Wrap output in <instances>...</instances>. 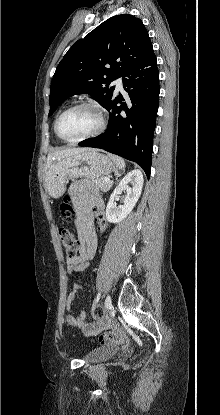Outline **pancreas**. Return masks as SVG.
<instances>
[{"label": "pancreas", "instance_id": "1", "mask_svg": "<svg viewBox=\"0 0 220 415\" xmlns=\"http://www.w3.org/2000/svg\"><path fill=\"white\" fill-rule=\"evenodd\" d=\"M92 182L95 185V188L102 190L103 192L109 191L113 185V181H105L104 177L93 179Z\"/></svg>", "mask_w": 220, "mask_h": 415}]
</instances>
